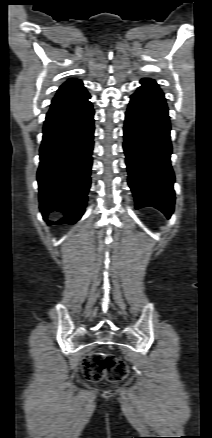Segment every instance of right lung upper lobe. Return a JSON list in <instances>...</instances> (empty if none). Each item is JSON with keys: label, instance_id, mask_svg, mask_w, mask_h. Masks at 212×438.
<instances>
[{"label": "right lung upper lobe", "instance_id": "1", "mask_svg": "<svg viewBox=\"0 0 212 438\" xmlns=\"http://www.w3.org/2000/svg\"><path fill=\"white\" fill-rule=\"evenodd\" d=\"M87 93L81 80L70 79L58 89L52 103L78 98Z\"/></svg>", "mask_w": 212, "mask_h": 438}]
</instances>
